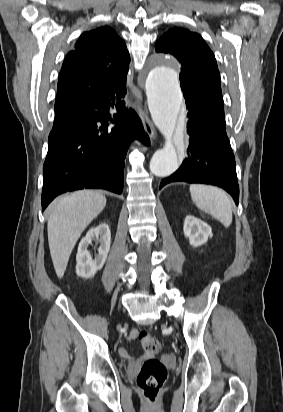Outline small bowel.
Returning <instances> with one entry per match:
<instances>
[{
    "label": "small bowel",
    "mask_w": 283,
    "mask_h": 412,
    "mask_svg": "<svg viewBox=\"0 0 283 412\" xmlns=\"http://www.w3.org/2000/svg\"><path fill=\"white\" fill-rule=\"evenodd\" d=\"M137 336V332L135 330L131 331L129 334V340H134ZM119 354L122 358L126 359V360H133L132 355L130 354V352L128 351L127 348L125 347H121L119 349Z\"/></svg>",
    "instance_id": "1"
}]
</instances>
